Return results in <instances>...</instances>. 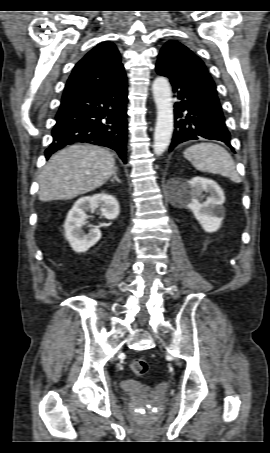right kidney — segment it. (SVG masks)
<instances>
[{
  "label": "right kidney",
  "instance_id": "right-kidney-1",
  "mask_svg": "<svg viewBox=\"0 0 270 453\" xmlns=\"http://www.w3.org/2000/svg\"><path fill=\"white\" fill-rule=\"evenodd\" d=\"M99 208L102 215L108 219H116L120 212L118 201L115 197L100 193L78 199L68 212L65 223V237L75 252L81 253L94 246L101 238L99 228H93L86 234L82 227L85 225L86 212Z\"/></svg>",
  "mask_w": 270,
  "mask_h": 453
}]
</instances>
